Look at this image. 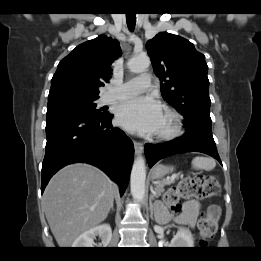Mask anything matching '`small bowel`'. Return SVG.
Here are the masks:
<instances>
[{"label":"small bowel","mask_w":261,"mask_h":261,"mask_svg":"<svg viewBox=\"0 0 261 261\" xmlns=\"http://www.w3.org/2000/svg\"><path fill=\"white\" fill-rule=\"evenodd\" d=\"M216 216L219 215L220 210L218 206H211ZM199 214V204L196 201H187L184 203L182 212L174 217L173 221L178 224H186L190 227H195L196 220Z\"/></svg>","instance_id":"small-bowel-1"}]
</instances>
